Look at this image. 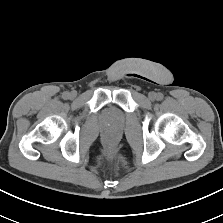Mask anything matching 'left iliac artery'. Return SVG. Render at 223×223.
<instances>
[{
    "label": "left iliac artery",
    "instance_id": "left-iliac-artery-1",
    "mask_svg": "<svg viewBox=\"0 0 223 223\" xmlns=\"http://www.w3.org/2000/svg\"><path fill=\"white\" fill-rule=\"evenodd\" d=\"M156 98H157V100H162L163 99V94L162 93H158Z\"/></svg>",
    "mask_w": 223,
    "mask_h": 223
}]
</instances>
